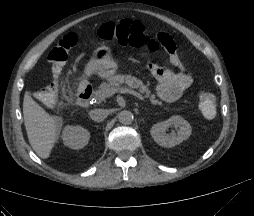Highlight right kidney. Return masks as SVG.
I'll list each match as a JSON object with an SVG mask.
<instances>
[{"instance_id":"obj_1","label":"right kidney","mask_w":254,"mask_h":216,"mask_svg":"<svg viewBox=\"0 0 254 216\" xmlns=\"http://www.w3.org/2000/svg\"><path fill=\"white\" fill-rule=\"evenodd\" d=\"M89 139L90 133L81 126H66L62 133L64 145L76 150L86 146Z\"/></svg>"}]
</instances>
